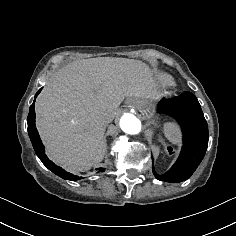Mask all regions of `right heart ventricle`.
<instances>
[{"instance_id": "1", "label": "right heart ventricle", "mask_w": 236, "mask_h": 236, "mask_svg": "<svg viewBox=\"0 0 236 236\" xmlns=\"http://www.w3.org/2000/svg\"><path fill=\"white\" fill-rule=\"evenodd\" d=\"M174 84V81L169 76H161L160 77V86L162 88H168L171 87Z\"/></svg>"}]
</instances>
